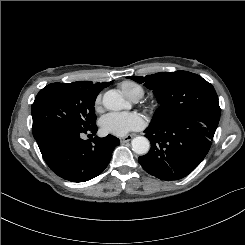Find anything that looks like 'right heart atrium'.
<instances>
[{
  "mask_svg": "<svg viewBox=\"0 0 245 245\" xmlns=\"http://www.w3.org/2000/svg\"><path fill=\"white\" fill-rule=\"evenodd\" d=\"M101 106V95H98L94 100V108L95 110H99Z\"/></svg>",
  "mask_w": 245,
  "mask_h": 245,
  "instance_id": "1",
  "label": "right heart atrium"
}]
</instances>
